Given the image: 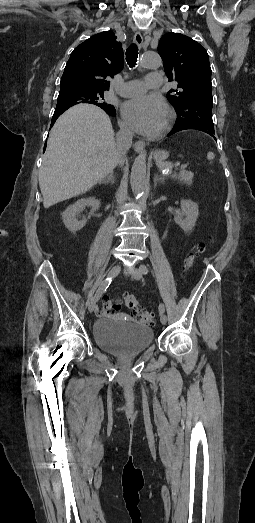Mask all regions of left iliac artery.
Segmentation results:
<instances>
[{"instance_id":"left-iliac-artery-1","label":"left iliac artery","mask_w":255,"mask_h":523,"mask_svg":"<svg viewBox=\"0 0 255 523\" xmlns=\"http://www.w3.org/2000/svg\"><path fill=\"white\" fill-rule=\"evenodd\" d=\"M139 269H140V271H141L143 274H147V273H148V268H147V266H145V265H141ZM158 308H159V311H160L161 313H163V312L165 311V306H164V304H162V303L159 304V307H158Z\"/></svg>"}]
</instances>
